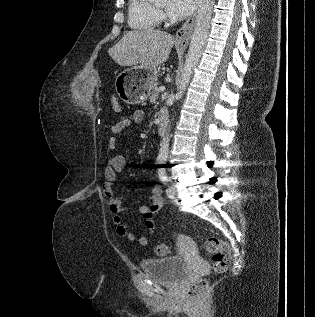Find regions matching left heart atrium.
Instances as JSON below:
<instances>
[{
  "label": "left heart atrium",
  "instance_id": "1",
  "mask_svg": "<svg viewBox=\"0 0 315 317\" xmlns=\"http://www.w3.org/2000/svg\"><path fill=\"white\" fill-rule=\"evenodd\" d=\"M197 0H168L167 12L173 17L183 18L195 8Z\"/></svg>",
  "mask_w": 315,
  "mask_h": 317
}]
</instances>
